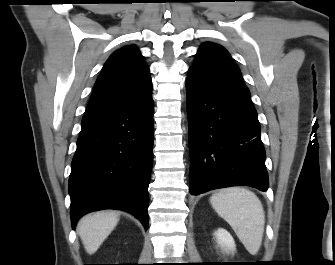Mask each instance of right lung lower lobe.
Instances as JSON below:
<instances>
[{
	"label": "right lung lower lobe",
	"mask_w": 335,
	"mask_h": 265,
	"mask_svg": "<svg viewBox=\"0 0 335 265\" xmlns=\"http://www.w3.org/2000/svg\"><path fill=\"white\" fill-rule=\"evenodd\" d=\"M71 164L72 227L100 209L132 213L148 228L152 166L153 99L85 113Z\"/></svg>",
	"instance_id": "1"
}]
</instances>
